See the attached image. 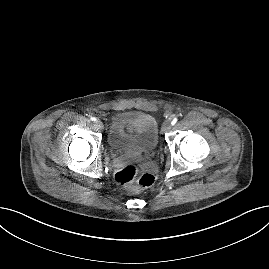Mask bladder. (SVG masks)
<instances>
[{
    "label": "bladder",
    "mask_w": 269,
    "mask_h": 269,
    "mask_svg": "<svg viewBox=\"0 0 269 269\" xmlns=\"http://www.w3.org/2000/svg\"><path fill=\"white\" fill-rule=\"evenodd\" d=\"M108 143L116 154H150L158 145V124L146 113L119 112L111 120Z\"/></svg>",
    "instance_id": "1"
}]
</instances>
